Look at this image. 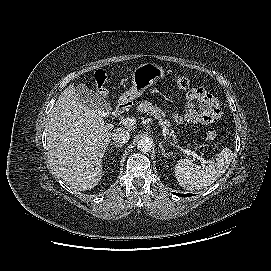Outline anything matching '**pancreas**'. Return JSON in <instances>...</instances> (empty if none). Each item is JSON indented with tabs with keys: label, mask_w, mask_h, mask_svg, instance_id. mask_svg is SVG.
Returning <instances> with one entry per match:
<instances>
[{
	"label": "pancreas",
	"mask_w": 271,
	"mask_h": 271,
	"mask_svg": "<svg viewBox=\"0 0 271 271\" xmlns=\"http://www.w3.org/2000/svg\"><path fill=\"white\" fill-rule=\"evenodd\" d=\"M137 110L142 113H147L150 115H153L155 119L158 120L162 128L165 130L167 134L172 136V138L175 140L176 136L173 134V132H169L170 123L167 119H165L166 114L157 106L153 105L152 103L148 101H143L141 104L138 105Z\"/></svg>",
	"instance_id": "cf45deb5"
}]
</instances>
